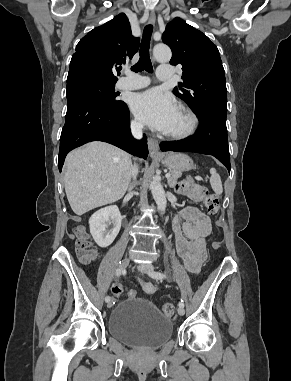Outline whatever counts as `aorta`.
I'll return each mask as SVG.
<instances>
[{"label": "aorta", "instance_id": "obj_1", "mask_svg": "<svg viewBox=\"0 0 291 381\" xmlns=\"http://www.w3.org/2000/svg\"><path fill=\"white\" fill-rule=\"evenodd\" d=\"M153 55L158 61H167L171 58V50L167 45L158 44L153 48ZM150 189L158 209L163 213L167 206V200L161 183L153 178Z\"/></svg>", "mask_w": 291, "mask_h": 381}]
</instances>
